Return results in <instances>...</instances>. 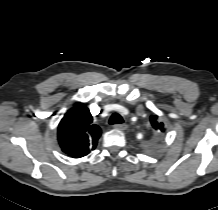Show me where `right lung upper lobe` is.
<instances>
[{"instance_id":"1","label":"right lung upper lobe","mask_w":218,"mask_h":210,"mask_svg":"<svg viewBox=\"0 0 218 210\" xmlns=\"http://www.w3.org/2000/svg\"><path fill=\"white\" fill-rule=\"evenodd\" d=\"M101 129L93 124V117L83 103H76L58 126V142L66 154L80 158L95 149Z\"/></svg>"}]
</instances>
